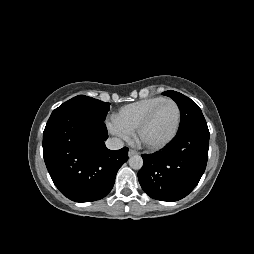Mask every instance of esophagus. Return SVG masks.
<instances>
[{"mask_svg":"<svg viewBox=\"0 0 254 254\" xmlns=\"http://www.w3.org/2000/svg\"><path fill=\"white\" fill-rule=\"evenodd\" d=\"M136 154H138V152H137L136 150L129 149V151H128V156H129V157H131V156H133V155H136Z\"/></svg>","mask_w":254,"mask_h":254,"instance_id":"esophagus-1","label":"esophagus"}]
</instances>
